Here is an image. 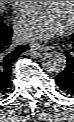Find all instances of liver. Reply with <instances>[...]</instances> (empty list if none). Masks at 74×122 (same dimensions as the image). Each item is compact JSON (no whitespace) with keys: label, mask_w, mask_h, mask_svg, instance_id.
<instances>
[{"label":"liver","mask_w":74,"mask_h":122,"mask_svg":"<svg viewBox=\"0 0 74 122\" xmlns=\"http://www.w3.org/2000/svg\"><path fill=\"white\" fill-rule=\"evenodd\" d=\"M1 6H3V1H1Z\"/></svg>","instance_id":"1"}]
</instances>
